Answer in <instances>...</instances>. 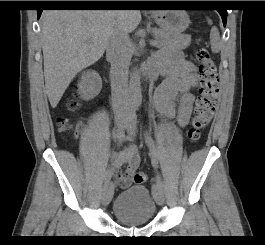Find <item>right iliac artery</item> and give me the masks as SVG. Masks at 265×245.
Segmentation results:
<instances>
[{
    "mask_svg": "<svg viewBox=\"0 0 265 245\" xmlns=\"http://www.w3.org/2000/svg\"><path fill=\"white\" fill-rule=\"evenodd\" d=\"M137 110V105L136 104H132L131 105V109H130V113H129V120H134L135 119V112ZM112 137L114 140H118L121 141L124 138V128L123 126H117L113 129L112 131ZM110 177L108 175V172H106L105 176H104V182L107 183L109 182Z\"/></svg>",
    "mask_w": 265,
    "mask_h": 245,
    "instance_id": "right-iliac-artery-1",
    "label": "right iliac artery"
}]
</instances>
